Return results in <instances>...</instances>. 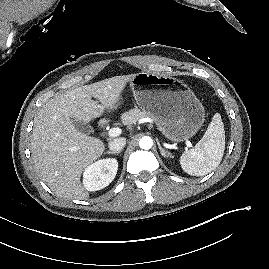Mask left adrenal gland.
Listing matches in <instances>:
<instances>
[{"mask_svg": "<svg viewBox=\"0 0 269 269\" xmlns=\"http://www.w3.org/2000/svg\"><path fill=\"white\" fill-rule=\"evenodd\" d=\"M157 144H158V148H159L161 154H162L164 157H170V158H172V155L170 154V152L164 150V149L161 147L159 141H157Z\"/></svg>", "mask_w": 269, "mask_h": 269, "instance_id": "obj_1", "label": "left adrenal gland"}]
</instances>
